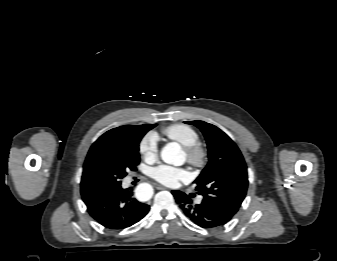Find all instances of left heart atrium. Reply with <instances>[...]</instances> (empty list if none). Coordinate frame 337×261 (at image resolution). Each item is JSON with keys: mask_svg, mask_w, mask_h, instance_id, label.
I'll list each match as a JSON object with an SVG mask.
<instances>
[{"mask_svg": "<svg viewBox=\"0 0 337 261\" xmlns=\"http://www.w3.org/2000/svg\"><path fill=\"white\" fill-rule=\"evenodd\" d=\"M150 175L156 181L167 186H176L180 181H187L190 177L185 169L164 164L152 168Z\"/></svg>", "mask_w": 337, "mask_h": 261, "instance_id": "39dd6f15", "label": "left heart atrium"}]
</instances>
